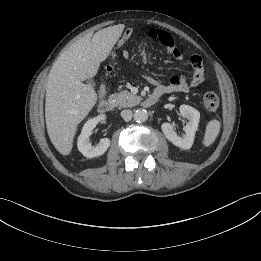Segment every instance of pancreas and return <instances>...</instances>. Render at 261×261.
Returning <instances> with one entry per match:
<instances>
[{"label": "pancreas", "instance_id": "1", "mask_svg": "<svg viewBox=\"0 0 261 261\" xmlns=\"http://www.w3.org/2000/svg\"><path fill=\"white\" fill-rule=\"evenodd\" d=\"M110 100H115V106L119 108L132 107L140 101V97L136 96L126 90L119 93L112 94Z\"/></svg>", "mask_w": 261, "mask_h": 261}]
</instances>
